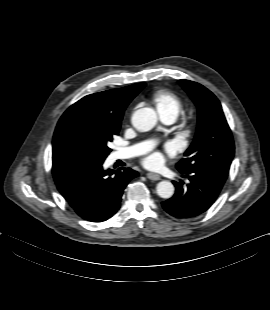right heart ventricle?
Instances as JSON below:
<instances>
[{
    "label": "right heart ventricle",
    "mask_w": 270,
    "mask_h": 310,
    "mask_svg": "<svg viewBox=\"0 0 270 310\" xmlns=\"http://www.w3.org/2000/svg\"><path fill=\"white\" fill-rule=\"evenodd\" d=\"M152 101L161 118L172 117L176 119L182 111V102L173 92L165 89L156 91Z\"/></svg>",
    "instance_id": "obj_1"
}]
</instances>
